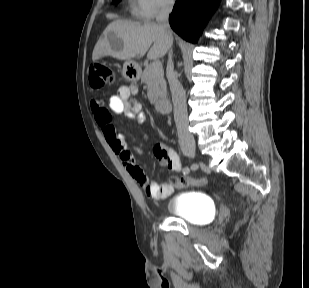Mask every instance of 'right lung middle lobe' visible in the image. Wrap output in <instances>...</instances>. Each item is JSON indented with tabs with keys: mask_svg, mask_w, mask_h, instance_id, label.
Instances as JSON below:
<instances>
[{
	"mask_svg": "<svg viewBox=\"0 0 309 288\" xmlns=\"http://www.w3.org/2000/svg\"><path fill=\"white\" fill-rule=\"evenodd\" d=\"M118 2H120V0H113L114 4H117Z\"/></svg>",
	"mask_w": 309,
	"mask_h": 288,
	"instance_id": "1",
	"label": "right lung middle lobe"
}]
</instances>
